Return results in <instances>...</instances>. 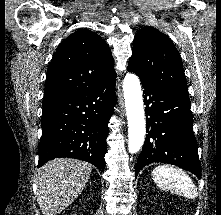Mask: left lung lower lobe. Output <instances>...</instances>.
<instances>
[{"label": "left lung lower lobe", "mask_w": 221, "mask_h": 215, "mask_svg": "<svg viewBox=\"0 0 221 215\" xmlns=\"http://www.w3.org/2000/svg\"><path fill=\"white\" fill-rule=\"evenodd\" d=\"M140 80L144 88L147 134L135 173L150 163L162 162L185 168L201 178L189 98Z\"/></svg>", "instance_id": "1"}]
</instances>
